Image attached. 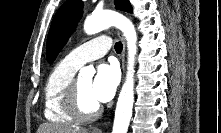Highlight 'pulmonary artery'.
<instances>
[{
	"instance_id": "e3ab8cb5",
	"label": "pulmonary artery",
	"mask_w": 221,
	"mask_h": 133,
	"mask_svg": "<svg viewBox=\"0 0 221 133\" xmlns=\"http://www.w3.org/2000/svg\"><path fill=\"white\" fill-rule=\"evenodd\" d=\"M110 47V41L106 36L102 35L82 44L68 53L65 60L77 67H81L86 62L93 61L104 56L110 50Z\"/></svg>"
}]
</instances>
